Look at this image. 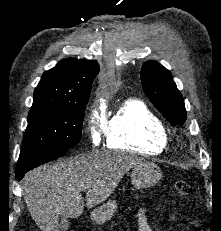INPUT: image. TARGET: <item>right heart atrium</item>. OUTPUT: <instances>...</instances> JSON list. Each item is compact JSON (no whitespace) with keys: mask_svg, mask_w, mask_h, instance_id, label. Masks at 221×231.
<instances>
[{"mask_svg":"<svg viewBox=\"0 0 221 231\" xmlns=\"http://www.w3.org/2000/svg\"><path fill=\"white\" fill-rule=\"evenodd\" d=\"M106 119L103 109H93L89 120V132L94 144H98L105 132Z\"/></svg>","mask_w":221,"mask_h":231,"instance_id":"1","label":"right heart atrium"}]
</instances>
